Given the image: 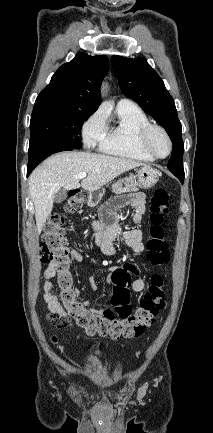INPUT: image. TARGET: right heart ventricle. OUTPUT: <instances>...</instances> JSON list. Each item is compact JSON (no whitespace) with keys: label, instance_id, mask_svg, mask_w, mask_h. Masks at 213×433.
Returning <instances> with one entry per match:
<instances>
[{"label":"right heart ventricle","instance_id":"e07e8e85","mask_svg":"<svg viewBox=\"0 0 213 433\" xmlns=\"http://www.w3.org/2000/svg\"><path fill=\"white\" fill-rule=\"evenodd\" d=\"M117 120L113 125L106 124V131L99 143L101 152L123 158L153 161L139 145L140 129L149 124L145 113L132 102H119L116 109Z\"/></svg>","mask_w":213,"mask_h":433}]
</instances>
